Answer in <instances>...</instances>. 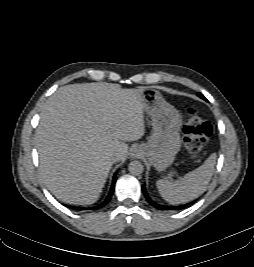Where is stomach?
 Segmentation results:
<instances>
[{
	"label": "stomach",
	"mask_w": 254,
	"mask_h": 267,
	"mask_svg": "<svg viewBox=\"0 0 254 267\" xmlns=\"http://www.w3.org/2000/svg\"><path fill=\"white\" fill-rule=\"evenodd\" d=\"M141 101L144 111L152 117L153 131L148 142L141 144L138 149L150 165L162 172L173 164L182 146V116L154 89L145 88L141 93Z\"/></svg>",
	"instance_id": "stomach-1"
}]
</instances>
